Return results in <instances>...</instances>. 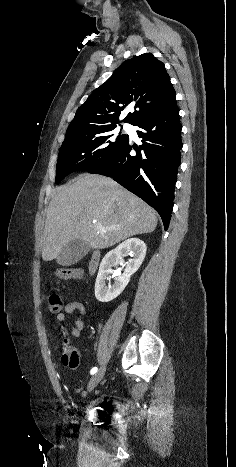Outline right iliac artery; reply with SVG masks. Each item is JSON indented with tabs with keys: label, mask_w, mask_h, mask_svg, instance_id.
Instances as JSON below:
<instances>
[{
	"label": "right iliac artery",
	"mask_w": 236,
	"mask_h": 467,
	"mask_svg": "<svg viewBox=\"0 0 236 467\" xmlns=\"http://www.w3.org/2000/svg\"><path fill=\"white\" fill-rule=\"evenodd\" d=\"M97 370H98L97 367L92 368L91 371H90V374L91 375L95 374L97 372Z\"/></svg>",
	"instance_id": "right-iliac-artery-1"
}]
</instances>
